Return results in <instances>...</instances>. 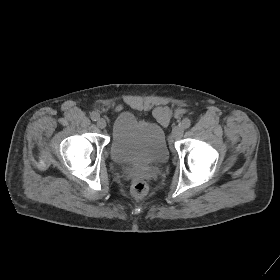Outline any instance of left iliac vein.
Instances as JSON below:
<instances>
[{"instance_id":"1","label":"left iliac vein","mask_w":280,"mask_h":280,"mask_svg":"<svg viewBox=\"0 0 280 280\" xmlns=\"http://www.w3.org/2000/svg\"><path fill=\"white\" fill-rule=\"evenodd\" d=\"M184 129L182 126H176L172 130V138L174 140H178L183 136Z\"/></svg>"}]
</instances>
